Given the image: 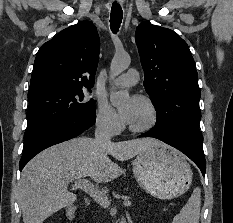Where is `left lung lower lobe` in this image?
<instances>
[{
	"mask_svg": "<svg viewBox=\"0 0 233 223\" xmlns=\"http://www.w3.org/2000/svg\"><path fill=\"white\" fill-rule=\"evenodd\" d=\"M139 137H154L188 156L201 170L203 176L206 172V160L203 152V136L199 131L191 129L166 130L153 128Z\"/></svg>",
	"mask_w": 233,
	"mask_h": 223,
	"instance_id": "left-lung-lower-lobe-1",
	"label": "left lung lower lobe"
}]
</instances>
